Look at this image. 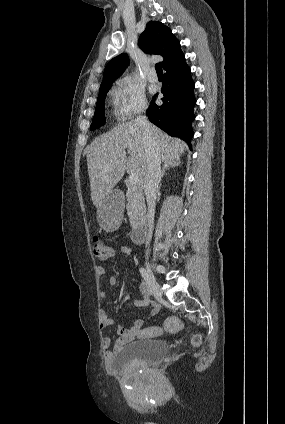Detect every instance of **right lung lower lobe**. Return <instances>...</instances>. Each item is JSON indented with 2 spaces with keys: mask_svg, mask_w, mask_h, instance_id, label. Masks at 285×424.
<instances>
[{
  "mask_svg": "<svg viewBox=\"0 0 285 424\" xmlns=\"http://www.w3.org/2000/svg\"><path fill=\"white\" fill-rule=\"evenodd\" d=\"M195 83L191 78L190 67L185 58L176 65L165 70L162 105H156L154 98L146 111L149 120L168 133L170 136L179 137L189 144L193 137L192 121L195 119L194 96Z\"/></svg>",
  "mask_w": 285,
  "mask_h": 424,
  "instance_id": "1",
  "label": "right lung lower lobe"
}]
</instances>
